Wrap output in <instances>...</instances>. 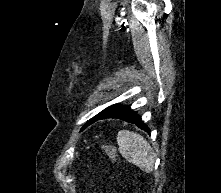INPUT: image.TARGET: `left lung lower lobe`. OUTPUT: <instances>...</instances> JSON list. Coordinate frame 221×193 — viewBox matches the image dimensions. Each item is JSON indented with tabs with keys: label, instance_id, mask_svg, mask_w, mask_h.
<instances>
[{
	"label": "left lung lower lobe",
	"instance_id": "obj_1",
	"mask_svg": "<svg viewBox=\"0 0 221 193\" xmlns=\"http://www.w3.org/2000/svg\"><path fill=\"white\" fill-rule=\"evenodd\" d=\"M105 118H117L122 119L126 122L134 123L139 128L147 131L150 133V129L146 124L143 123L141 120V116L138 115L136 112H133L130 109V106H123L119 104L112 105L108 107L100 116H98L93 122L99 119Z\"/></svg>",
	"mask_w": 221,
	"mask_h": 193
}]
</instances>
